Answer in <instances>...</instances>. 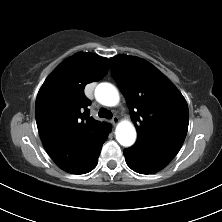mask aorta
<instances>
[{"label": "aorta", "mask_w": 222, "mask_h": 222, "mask_svg": "<svg viewBox=\"0 0 222 222\" xmlns=\"http://www.w3.org/2000/svg\"><path fill=\"white\" fill-rule=\"evenodd\" d=\"M95 98L105 106H115L119 102L117 89L109 83H100L95 89ZM116 139L125 146H131L136 139V130L129 121H122L116 127Z\"/></svg>", "instance_id": "762f6f07"}]
</instances>
